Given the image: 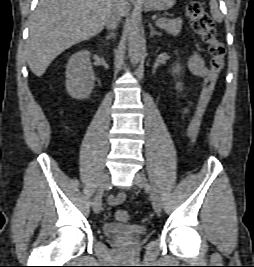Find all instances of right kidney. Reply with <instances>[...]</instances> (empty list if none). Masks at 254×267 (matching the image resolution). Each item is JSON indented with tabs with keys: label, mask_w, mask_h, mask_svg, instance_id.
<instances>
[{
	"label": "right kidney",
	"mask_w": 254,
	"mask_h": 267,
	"mask_svg": "<svg viewBox=\"0 0 254 267\" xmlns=\"http://www.w3.org/2000/svg\"><path fill=\"white\" fill-rule=\"evenodd\" d=\"M65 76L66 90L73 99L84 100L90 96L95 75L87 50L78 51L69 58Z\"/></svg>",
	"instance_id": "1"
}]
</instances>
